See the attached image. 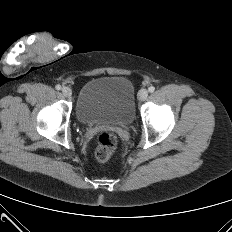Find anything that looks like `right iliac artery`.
<instances>
[{"label": "right iliac artery", "instance_id": "82829eb1", "mask_svg": "<svg viewBox=\"0 0 232 232\" xmlns=\"http://www.w3.org/2000/svg\"><path fill=\"white\" fill-rule=\"evenodd\" d=\"M55 88H56V90H60L61 89V85L58 84V85L55 86Z\"/></svg>", "mask_w": 232, "mask_h": 232}]
</instances>
